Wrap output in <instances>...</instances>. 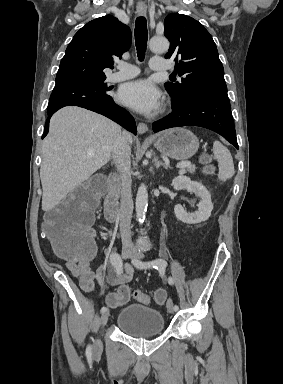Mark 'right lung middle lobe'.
Listing matches in <instances>:
<instances>
[{
    "label": "right lung middle lobe",
    "mask_w": 283,
    "mask_h": 384,
    "mask_svg": "<svg viewBox=\"0 0 283 384\" xmlns=\"http://www.w3.org/2000/svg\"><path fill=\"white\" fill-rule=\"evenodd\" d=\"M104 80L54 88L49 100V108H59L77 103L111 98L106 92L111 90Z\"/></svg>",
    "instance_id": "obj_1"
}]
</instances>
